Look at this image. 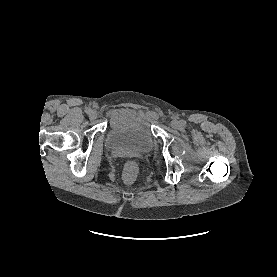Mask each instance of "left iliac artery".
I'll return each instance as SVG.
<instances>
[{
  "instance_id": "left-iliac-artery-1",
  "label": "left iliac artery",
  "mask_w": 277,
  "mask_h": 277,
  "mask_svg": "<svg viewBox=\"0 0 277 277\" xmlns=\"http://www.w3.org/2000/svg\"><path fill=\"white\" fill-rule=\"evenodd\" d=\"M185 124H186L185 121H181L182 126H185Z\"/></svg>"
}]
</instances>
